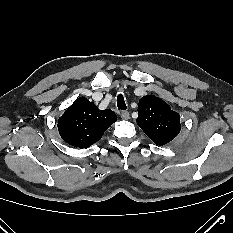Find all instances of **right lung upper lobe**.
<instances>
[{"instance_id":"right-lung-upper-lobe-1","label":"right lung upper lobe","mask_w":233,"mask_h":233,"mask_svg":"<svg viewBox=\"0 0 233 233\" xmlns=\"http://www.w3.org/2000/svg\"><path fill=\"white\" fill-rule=\"evenodd\" d=\"M116 120L111 109L99 110L94 103L80 97L58 119V131L69 145L87 148L96 143Z\"/></svg>"}]
</instances>
